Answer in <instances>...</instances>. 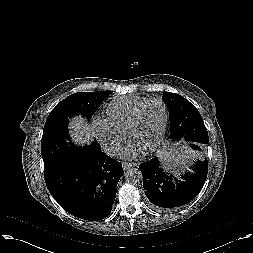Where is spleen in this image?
Here are the masks:
<instances>
[{
	"mask_svg": "<svg viewBox=\"0 0 253 253\" xmlns=\"http://www.w3.org/2000/svg\"><path fill=\"white\" fill-rule=\"evenodd\" d=\"M201 168V157L189 145H175L167 150L159 165L162 179L173 186L187 183Z\"/></svg>",
	"mask_w": 253,
	"mask_h": 253,
	"instance_id": "obj_1",
	"label": "spleen"
}]
</instances>
